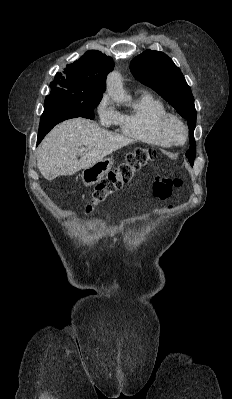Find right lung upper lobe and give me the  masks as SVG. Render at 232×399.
<instances>
[{"label":"right lung upper lobe","instance_id":"right-lung-upper-lobe-1","mask_svg":"<svg viewBox=\"0 0 232 399\" xmlns=\"http://www.w3.org/2000/svg\"><path fill=\"white\" fill-rule=\"evenodd\" d=\"M113 67L111 57L90 50L81 59L67 65L63 74L57 73L51 83L68 92L103 93L107 74Z\"/></svg>","mask_w":232,"mask_h":399}]
</instances>
